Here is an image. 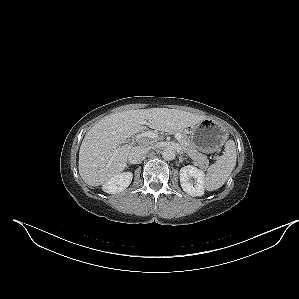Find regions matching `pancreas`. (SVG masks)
<instances>
[{
	"mask_svg": "<svg viewBox=\"0 0 299 299\" xmlns=\"http://www.w3.org/2000/svg\"><path fill=\"white\" fill-rule=\"evenodd\" d=\"M171 133H179L181 139L179 140L180 145L183 147L185 153L192 158L202 168L206 169L209 164V160L206 155L199 153L196 148L190 142L188 135L185 131H170Z\"/></svg>",
	"mask_w": 299,
	"mask_h": 299,
	"instance_id": "obj_1",
	"label": "pancreas"
}]
</instances>
